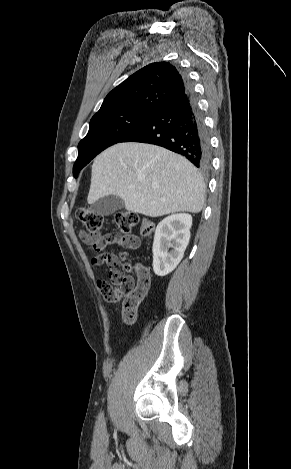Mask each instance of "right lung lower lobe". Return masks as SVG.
Returning a JSON list of instances; mask_svg holds the SVG:
<instances>
[{"label": "right lung lower lobe", "mask_w": 291, "mask_h": 469, "mask_svg": "<svg viewBox=\"0 0 291 469\" xmlns=\"http://www.w3.org/2000/svg\"><path fill=\"white\" fill-rule=\"evenodd\" d=\"M186 90L159 106L120 142H141L167 148L186 157L201 170L210 166L208 134L188 79Z\"/></svg>", "instance_id": "1"}]
</instances>
